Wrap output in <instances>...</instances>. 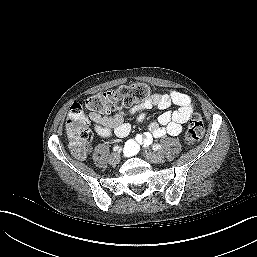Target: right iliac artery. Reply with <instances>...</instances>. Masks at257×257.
<instances>
[{
	"label": "right iliac artery",
	"instance_id": "right-iliac-artery-1",
	"mask_svg": "<svg viewBox=\"0 0 257 257\" xmlns=\"http://www.w3.org/2000/svg\"><path fill=\"white\" fill-rule=\"evenodd\" d=\"M113 150H114V151H118V150L120 151V150H121V147L115 146V147L113 148Z\"/></svg>",
	"mask_w": 257,
	"mask_h": 257
}]
</instances>
